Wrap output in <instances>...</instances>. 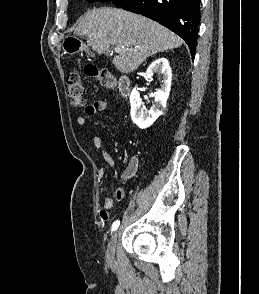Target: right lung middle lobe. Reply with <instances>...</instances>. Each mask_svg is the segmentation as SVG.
I'll use <instances>...</instances> for the list:
<instances>
[{
  "mask_svg": "<svg viewBox=\"0 0 259 294\" xmlns=\"http://www.w3.org/2000/svg\"><path fill=\"white\" fill-rule=\"evenodd\" d=\"M96 1L112 2L115 6L120 7L121 5L126 3L128 0H88V2H96Z\"/></svg>",
  "mask_w": 259,
  "mask_h": 294,
  "instance_id": "1",
  "label": "right lung middle lobe"
}]
</instances>
